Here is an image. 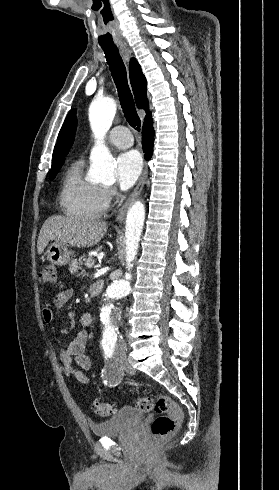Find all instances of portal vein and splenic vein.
<instances>
[{"label":"portal vein and splenic vein","instance_id":"1","mask_svg":"<svg viewBox=\"0 0 279 490\" xmlns=\"http://www.w3.org/2000/svg\"><path fill=\"white\" fill-rule=\"evenodd\" d=\"M85 266H87V268H93L94 266L93 260H89V262H85Z\"/></svg>","mask_w":279,"mask_h":490}]
</instances>
